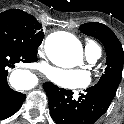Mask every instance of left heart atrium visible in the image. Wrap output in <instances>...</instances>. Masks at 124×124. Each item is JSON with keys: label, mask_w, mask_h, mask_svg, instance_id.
Wrapping results in <instances>:
<instances>
[{"label": "left heart atrium", "mask_w": 124, "mask_h": 124, "mask_svg": "<svg viewBox=\"0 0 124 124\" xmlns=\"http://www.w3.org/2000/svg\"><path fill=\"white\" fill-rule=\"evenodd\" d=\"M47 76L58 86L67 89L86 87L90 83L89 74L78 69L48 68Z\"/></svg>", "instance_id": "39dd6f15"}]
</instances>
